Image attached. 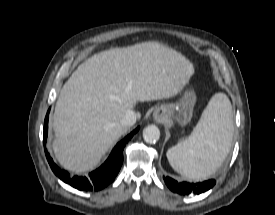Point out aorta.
<instances>
[{
	"label": "aorta",
	"mask_w": 275,
	"mask_h": 215,
	"mask_svg": "<svg viewBox=\"0 0 275 215\" xmlns=\"http://www.w3.org/2000/svg\"><path fill=\"white\" fill-rule=\"evenodd\" d=\"M143 138L147 143H156L160 138L159 128L155 125H148L143 130Z\"/></svg>",
	"instance_id": "aorta-1"
}]
</instances>
